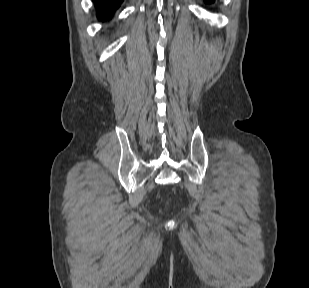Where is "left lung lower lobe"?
<instances>
[{
  "label": "left lung lower lobe",
  "instance_id": "left-lung-lower-lobe-1",
  "mask_svg": "<svg viewBox=\"0 0 309 288\" xmlns=\"http://www.w3.org/2000/svg\"><path fill=\"white\" fill-rule=\"evenodd\" d=\"M206 2H209V3H211V2H214V0H206Z\"/></svg>",
  "mask_w": 309,
  "mask_h": 288
}]
</instances>
